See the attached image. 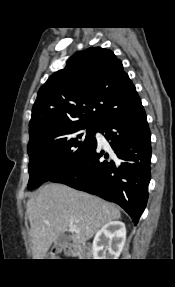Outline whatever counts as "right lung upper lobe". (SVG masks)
<instances>
[{"label":"right lung upper lobe","instance_id":"right-lung-upper-lobe-1","mask_svg":"<svg viewBox=\"0 0 175 287\" xmlns=\"http://www.w3.org/2000/svg\"><path fill=\"white\" fill-rule=\"evenodd\" d=\"M140 102L135 86L111 50L74 54L40 88L29 123L30 143L67 129L97 125Z\"/></svg>","mask_w":175,"mask_h":287}]
</instances>
